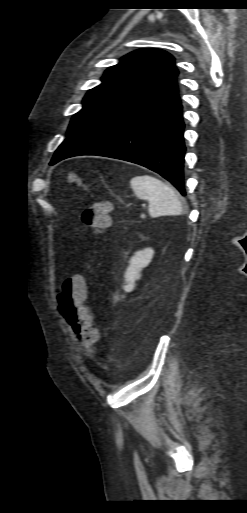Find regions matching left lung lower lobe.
I'll return each instance as SVG.
<instances>
[{
  "instance_id": "1",
  "label": "left lung lower lobe",
  "mask_w": 247,
  "mask_h": 513,
  "mask_svg": "<svg viewBox=\"0 0 247 513\" xmlns=\"http://www.w3.org/2000/svg\"><path fill=\"white\" fill-rule=\"evenodd\" d=\"M183 130L174 77L77 130L59 146L50 164L77 155L121 159L159 173L185 196Z\"/></svg>"
}]
</instances>
